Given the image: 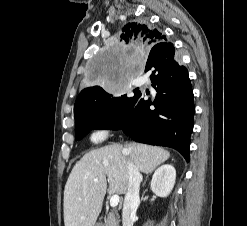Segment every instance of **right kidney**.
<instances>
[{
  "label": "right kidney",
  "instance_id": "1",
  "mask_svg": "<svg viewBox=\"0 0 247 226\" xmlns=\"http://www.w3.org/2000/svg\"><path fill=\"white\" fill-rule=\"evenodd\" d=\"M176 179V170L170 164L159 167L153 174L151 190L159 197H167L172 191Z\"/></svg>",
  "mask_w": 247,
  "mask_h": 226
}]
</instances>
